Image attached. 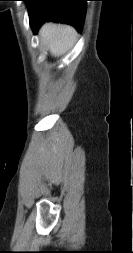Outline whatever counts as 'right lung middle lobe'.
<instances>
[{
  "label": "right lung middle lobe",
  "instance_id": "right-lung-middle-lobe-1",
  "mask_svg": "<svg viewBox=\"0 0 133 253\" xmlns=\"http://www.w3.org/2000/svg\"><path fill=\"white\" fill-rule=\"evenodd\" d=\"M23 1H26V3L28 4V2H29L30 0H23Z\"/></svg>",
  "mask_w": 133,
  "mask_h": 253
}]
</instances>
